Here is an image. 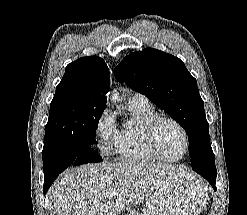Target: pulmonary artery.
<instances>
[{
    "label": "pulmonary artery",
    "instance_id": "pulmonary-artery-1",
    "mask_svg": "<svg viewBox=\"0 0 247 215\" xmlns=\"http://www.w3.org/2000/svg\"><path fill=\"white\" fill-rule=\"evenodd\" d=\"M131 102L140 104V105H149V100L146 96H144L143 94L140 93H134L131 98H130Z\"/></svg>",
    "mask_w": 247,
    "mask_h": 215
}]
</instances>
